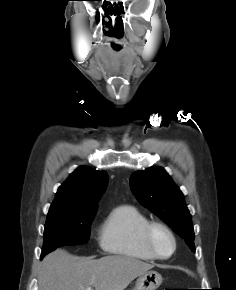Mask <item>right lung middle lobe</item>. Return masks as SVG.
Wrapping results in <instances>:
<instances>
[{
	"instance_id": "1",
	"label": "right lung middle lobe",
	"mask_w": 236,
	"mask_h": 290,
	"mask_svg": "<svg viewBox=\"0 0 236 290\" xmlns=\"http://www.w3.org/2000/svg\"><path fill=\"white\" fill-rule=\"evenodd\" d=\"M95 212L83 214H48L41 258L60 246L87 243Z\"/></svg>"
}]
</instances>
